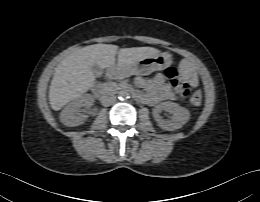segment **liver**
<instances>
[{"label":"liver","instance_id":"6515ba94","mask_svg":"<svg viewBox=\"0 0 260 202\" xmlns=\"http://www.w3.org/2000/svg\"><path fill=\"white\" fill-rule=\"evenodd\" d=\"M160 51L152 47H132L118 50V46L111 44H94L76 50L64 58L57 66L49 89V102L53 110L58 111L68 102L87 92L95 82L91 71L93 64L102 69L115 64L128 66L139 60L159 54Z\"/></svg>","mask_w":260,"mask_h":202}]
</instances>
